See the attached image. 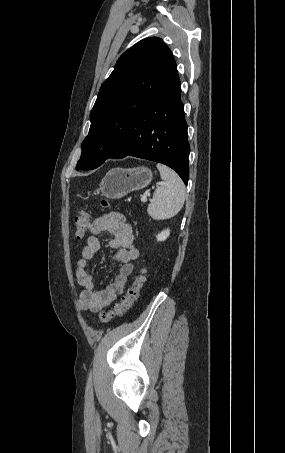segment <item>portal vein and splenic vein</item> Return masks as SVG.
Masks as SVG:
<instances>
[{
	"mask_svg": "<svg viewBox=\"0 0 285 453\" xmlns=\"http://www.w3.org/2000/svg\"><path fill=\"white\" fill-rule=\"evenodd\" d=\"M162 184V183H161ZM149 191H147L143 196H141V202H147V195Z\"/></svg>",
	"mask_w": 285,
	"mask_h": 453,
	"instance_id": "18ae733b",
	"label": "portal vein and splenic vein"
}]
</instances>
